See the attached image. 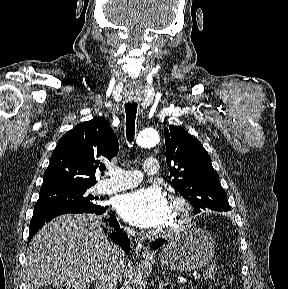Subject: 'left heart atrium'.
<instances>
[{"label": "left heart atrium", "mask_w": 288, "mask_h": 289, "mask_svg": "<svg viewBox=\"0 0 288 289\" xmlns=\"http://www.w3.org/2000/svg\"><path fill=\"white\" fill-rule=\"evenodd\" d=\"M115 208L132 225L157 228L168 223L170 204L159 188L143 187L120 195Z\"/></svg>", "instance_id": "39dd6f15"}]
</instances>
